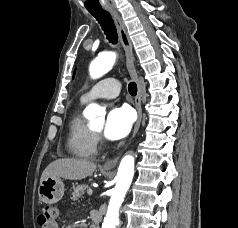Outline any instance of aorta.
Masks as SVG:
<instances>
[{"label": "aorta", "instance_id": "1", "mask_svg": "<svg viewBox=\"0 0 238 228\" xmlns=\"http://www.w3.org/2000/svg\"><path fill=\"white\" fill-rule=\"evenodd\" d=\"M116 53L109 51L101 53L89 66V74L92 79H97L111 70L115 61ZM104 109L97 104H90L84 111L85 116L92 120L96 116L104 115ZM134 157L125 155L120 161L116 175V185L112 191L107 214L104 217L102 228H116L119 221V209L130 187L134 175Z\"/></svg>", "mask_w": 238, "mask_h": 228}]
</instances>
